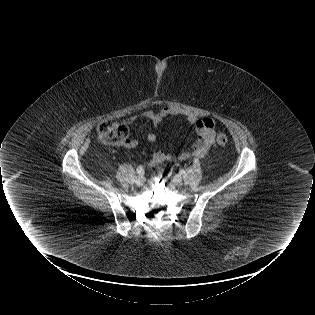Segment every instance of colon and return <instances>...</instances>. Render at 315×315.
Returning <instances> with one entry per match:
<instances>
[{
  "instance_id": "5ec220e1",
  "label": "colon",
  "mask_w": 315,
  "mask_h": 315,
  "mask_svg": "<svg viewBox=\"0 0 315 315\" xmlns=\"http://www.w3.org/2000/svg\"><path fill=\"white\" fill-rule=\"evenodd\" d=\"M128 129L125 125L107 121L98 126V137L101 143L110 148H119L125 145L128 140ZM216 143L225 146L228 143L226 134L220 133L216 137Z\"/></svg>"
}]
</instances>
